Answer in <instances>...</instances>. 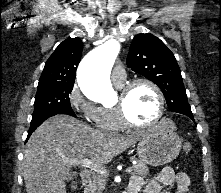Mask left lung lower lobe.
Instances as JSON below:
<instances>
[{
    "instance_id": "obj_1",
    "label": "left lung lower lobe",
    "mask_w": 221,
    "mask_h": 193,
    "mask_svg": "<svg viewBox=\"0 0 221 193\" xmlns=\"http://www.w3.org/2000/svg\"><path fill=\"white\" fill-rule=\"evenodd\" d=\"M184 115H186V116L190 117V118H191V119L194 121L193 114H184Z\"/></svg>"
}]
</instances>
